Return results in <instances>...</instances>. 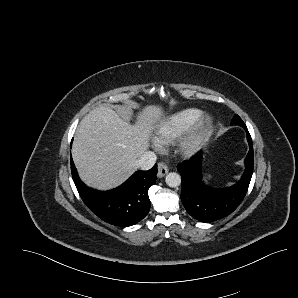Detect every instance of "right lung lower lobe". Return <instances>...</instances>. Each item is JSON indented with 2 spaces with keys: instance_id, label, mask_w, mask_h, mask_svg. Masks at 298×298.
I'll return each mask as SVG.
<instances>
[{
  "instance_id": "98d812e1",
  "label": "right lung lower lobe",
  "mask_w": 298,
  "mask_h": 298,
  "mask_svg": "<svg viewBox=\"0 0 298 298\" xmlns=\"http://www.w3.org/2000/svg\"><path fill=\"white\" fill-rule=\"evenodd\" d=\"M71 173L82 200L103 221L127 227L141 221L148 214V190L156 182L157 165L148 171L135 172L121 186L105 192L87 187L78 177L72 159Z\"/></svg>"
}]
</instances>
